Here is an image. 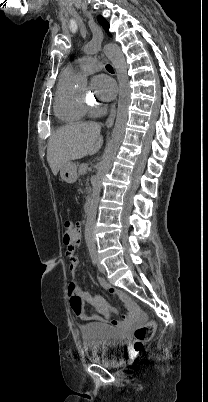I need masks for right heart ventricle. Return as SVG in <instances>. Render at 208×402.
Returning <instances> with one entry per match:
<instances>
[{"mask_svg": "<svg viewBox=\"0 0 208 402\" xmlns=\"http://www.w3.org/2000/svg\"><path fill=\"white\" fill-rule=\"evenodd\" d=\"M76 77L66 71L60 76L54 99L55 116L66 126H83L88 121V109L74 90Z\"/></svg>", "mask_w": 208, "mask_h": 402, "instance_id": "1", "label": "right heart ventricle"}]
</instances>
